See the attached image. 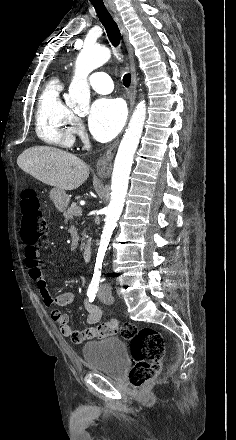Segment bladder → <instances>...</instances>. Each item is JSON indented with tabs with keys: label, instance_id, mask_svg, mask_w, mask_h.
<instances>
[{
	"label": "bladder",
	"instance_id": "obj_1",
	"mask_svg": "<svg viewBox=\"0 0 236 440\" xmlns=\"http://www.w3.org/2000/svg\"><path fill=\"white\" fill-rule=\"evenodd\" d=\"M82 354L89 370L110 378L120 377L129 362L126 343L116 336L85 343Z\"/></svg>",
	"mask_w": 236,
	"mask_h": 440
}]
</instances>
